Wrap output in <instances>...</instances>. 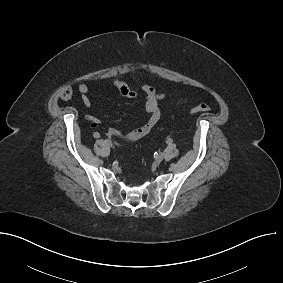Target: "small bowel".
<instances>
[{
  "mask_svg": "<svg viewBox=\"0 0 283 283\" xmlns=\"http://www.w3.org/2000/svg\"><path fill=\"white\" fill-rule=\"evenodd\" d=\"M113 84L119 90V92L127 98L135 99L138 97V92L130 88L123 80L115 77L113 79ZM78 90L81 94V100L86 107H89L91 100L89 97L90 88L86 83H80ZM142 90L144 92V107L148 114V119L146 122L127 132L122 133L116 128H109L107 135L115 139L116 144L120 146L131 144L139 139L146 137L156 126L162 117V111L160 109L159 103L164 98L163 93H159L156 89L149 83L142 85ZM100 122L97 119H92V126L98 127Z\"/></svg>",
  "mask_w": 283,
  "mask_h": 283,
  "instance_id": "obj_1",
  "label": "small bowel"
}]
</instances>
